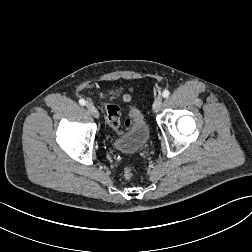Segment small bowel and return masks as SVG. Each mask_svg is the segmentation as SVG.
<instances>
[{"mask_svg":"<svg viewBox=\"0 0 252 252\" xmlns=\"http://www.w3.org/2000/svg\"><path fill=\"white\" fill-rule=\"evenodd\" d=\"M131 94L130 93H127V94H124L123 97H122V100L125 102V103H129L131 101ZM113 99H115V97H113Z\"/></svg>","mask_w":252,"mask_h":252,"instance_id":"1","label":"small bowel"}]
</instances>
